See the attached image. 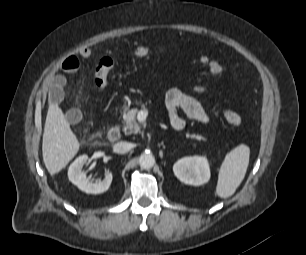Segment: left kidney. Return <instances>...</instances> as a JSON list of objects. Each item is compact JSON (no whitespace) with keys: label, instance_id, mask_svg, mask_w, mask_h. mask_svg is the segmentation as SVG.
Returning a JSON list of instances; mask_svg holds the SVG:
<instances>
[{"label":"left kidney","instance_id":"5707ae66","mask_svg":"<svg viewBox=\"0 0 306 255\" xmlns=\"http://www.w3.org/2000/svg\"><path fill=\"white\" fill-rule=\"evenodd\" d=\"M175 176L183 183L200 186L210 179L209 163L204 156L184 157L173 165Z\"/></svg>","mask_w":306,"mask_h":255}]
</instances>
